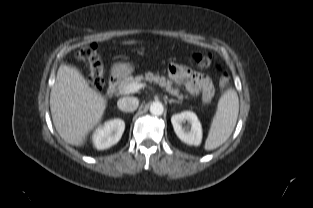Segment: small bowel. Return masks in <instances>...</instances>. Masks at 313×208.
Returning a JSON list of instances; mask_svg holds the SVG:
<instances>
[{"label":"small bowel","mask_w":313,"mask_h":208,"mask_svg":"<svg viewBox=\"0 0 313 208\" xmlns=\"http://www.w3.org/2000/svg\"><path fill=\"white\" fill-rule=\"evenodd\" d=\"M168 71L171 79L177 84L184 85L189 94H201L206 102L213 98L214 87L208 76L176 63L170 64Z\"/></svg>","instance_id":"c3829d8e"}]
</instances>
